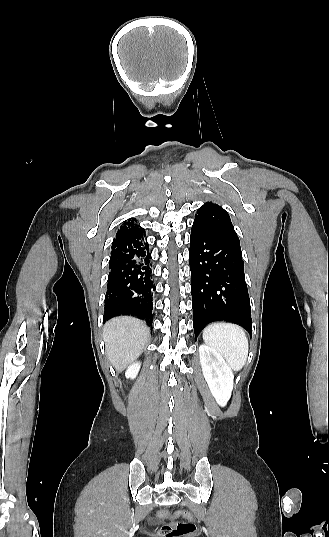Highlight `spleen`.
<instances>
[{
    "label": "spleen",
    "instance_id": "spleen-1",
    "mask_svg": "<svg viewBox=\"0 0 329 537\" xmlns=\"http://www.w3.org/2000/svg\"><path fill=\"white\" fill-rule=\"evenodd\" d=\"M205 344L217 350L235 371L245 365L249 344L244 330L236 324L216 322L203 330Z\"/></svg>",
    "mask_w": 329,
    "mask_h": 537
}]
</instances>
